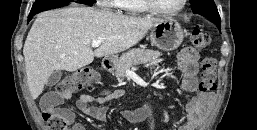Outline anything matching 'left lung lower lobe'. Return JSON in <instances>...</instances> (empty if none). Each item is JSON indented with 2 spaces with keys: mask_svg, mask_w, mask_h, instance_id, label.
Masks as SVG:
<instances>
[{
  "mask_svg": "<svg viewBox=\"0 0 257 130\" xmlns=\"http://www.w3.org/2000/svg\"><path fill=\"white\" fill-rule=\"evenodd\" d=\"M220 22H221V21H219V24L217 25V27H218L219 29H220Z\"/></svg>",
  "mask_w": 257,
  "mask_h": 130,
  "instance_id": "0a47b994",
  "label": "left lung lower lobe"
}]
</instances>
